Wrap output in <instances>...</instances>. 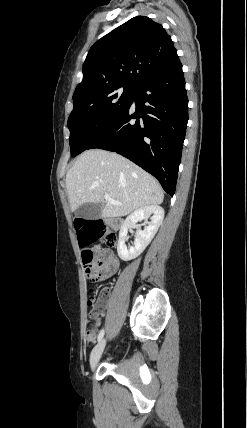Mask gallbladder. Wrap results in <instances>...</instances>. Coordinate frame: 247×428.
<instances>
[{"mask_svg": "<svg viewBox=\"0 0 247 428\" xmlns=\"http://www.w3.org/2000/svg\"><path fill=\"white\" fill-rule=\"evenodd\" d=\"M102 205L99 203H85L76 209V216L86 220H97L101 217Z\"/></svg>", "mask_w": 247, "mask_h": 428, "instance_id": "1", "label": "gallbladder"}]
</instances>
